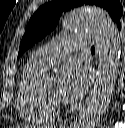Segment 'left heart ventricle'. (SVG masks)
<instances>
[{
    "label": "left heart ventricle",
    "instance_id": "1",
    "mask_svg": "<svg viewBox=\"0 0 125 128\" xmlns=\"http://www.w3.org/2000/svg\"><path fill=\"white\" fill-rule=\"evenodd\" d=\"M42 88L48 96L60 101V98L58 96V82L56 79L45 82L42 85Z\"/></svg>",
    "mask_w": 125,
    "mask_h": 128
}]
</instances>
